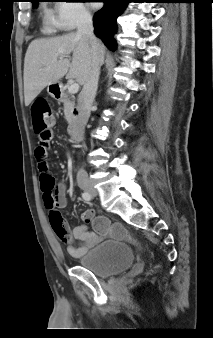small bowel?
<instances>
[{
  "instance_id": "small-bowel-1",
  "label": "small bowel",
  "mask_w": 213,
  "mask_h": 338,
  "mask_svg": "<svg viewBox=\"0 0 213 338\" xmlns=\"http://www.w3.org/2000/svg\"><path fill=\"white\" fill-rule=\"evenodd\" d=\"M51 139L52 137L49 136L46 140L39 141L35 149V158L37 162L48 160L50 154ZM55 196L57 201V208H64L67 205V198L66 188L63 183L58 184ZM93 218V211L90 209H86L83 210L81 213V219L84 221L85 224L76 227L73 231L70 230L66 221H63V223L59 227L53 228L60 240L67 243L68 251L70 254L74 256H79L87 252L89 249H91L106 238L107 228L109 227L108 221L105 217L98 216L100 222L95 225V231H91L87 226V223L92 221ZM115 234L124 239L130 238L129 232L123 227L116 228ZM74 239H79L81 241V244L77 245L76 243H74Z\"/></svg>"
}]
</instances>
